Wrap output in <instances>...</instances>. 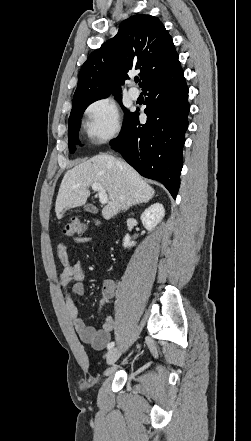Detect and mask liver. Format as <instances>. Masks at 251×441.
Instances as JSON below:
<instances>
[{
    "label": "liver",
    "mask_w": 251,
    "mask_h": 441,
    "mask_svg": "<svg viewBox=\"0 0 251 441\" xmlns=\"http://www.w3.org/2000/svg\"><path fill=\"white\" fill-rule=\"evenodd\" d=\"M93 183L101 184L108 193L109 201L102 210L106 220L120 210L148 202L155 194L154 189L129 164L112 155L99 154L65 173L55 203L57 218L61 219L68 208L84 205Z\"/></svg>",
    "instance_id": "liver-1"
}]
</instances>
